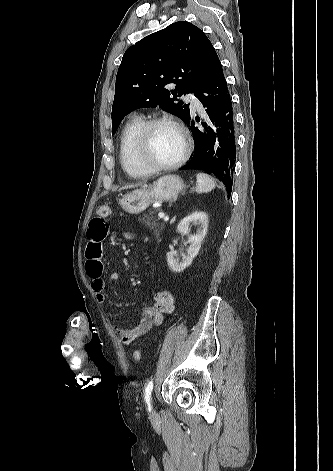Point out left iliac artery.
Returning <instances> with one entry per match:
<instances>
[{
	"instance_id": "left-iliac-artery-1",
	"label": "left iliac artery",
	"mask_w": 333,
	"mask_h": 471,
	"mask_svg": "<svg viewBox=\"0 0 333 471\" xmlns=\"http://www.w3.org/2000/svg\"><path fill=\"white\" fill-rule=\"evenodd\" d=\"M153 389V381H149L146 388H145V401L148 407V410L151 411V392Z\"/></svg>"
}]
</instances>
